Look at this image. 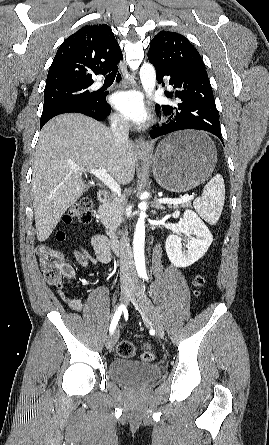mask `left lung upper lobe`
<instances>
[{"label":"left lung upper lobe","instance_id":"1","mask_svg":"<svg viewBox=\"0 0 269 445\" xmlns=\"http://www.w3.org/2000/svg\"><path fill=\"white\" fill-rule=\"evenodd\" d=\"M148 59L168 69L206 71L198 51L176 32H159L150 42Z\"/></svg>","mask_w":269,"mask_h":445}]
</instances>
